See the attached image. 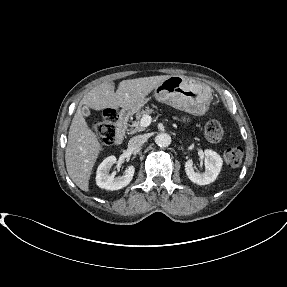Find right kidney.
<instances>
[{
	"mask_svg": "<svg viewBox=\"0 0 287 287\" xmlns=\"http://www.w3.org/2000/svg\"><path fill=\"white\" fill-rule=\"evenodd\" d=\"M117 159L115 156L111 155L103 160V162L98 166L96 173V184L106 190H119L127 186L135 172L134 166H129L124 174L120 177H116V172L113 171L109 174L110 168L116 163Z\"/></svg>",
	"mask_w": 287,
	"mask_h": 287,
	"instance_id": "obj_1",
	"label": "right kidney"
}]
</instances>
